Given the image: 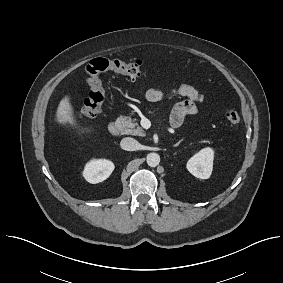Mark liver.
I'll list each match as a JSON object with an SVG mask.
<instances>
[{
    "mask_svg": "<svg viewBox=\"0 0 283 283\" xmlns=\"http://www.w3.org/2000/svg\"><path fill=\"white\" fill-rule=\"evenodd\" d=\"M55 122L60 125L66 126L69 124L71 127H78L77 122L75 120L74 109L70 102V97L66 95L59 103L56 114H55ZM81 132H89L87 129H79Z\"/></svg>",
    "mask_w": 283,
    "mask_h": 283,
    "instance_id": "liver-1",
    "label": "liver"
}]
</instances>
